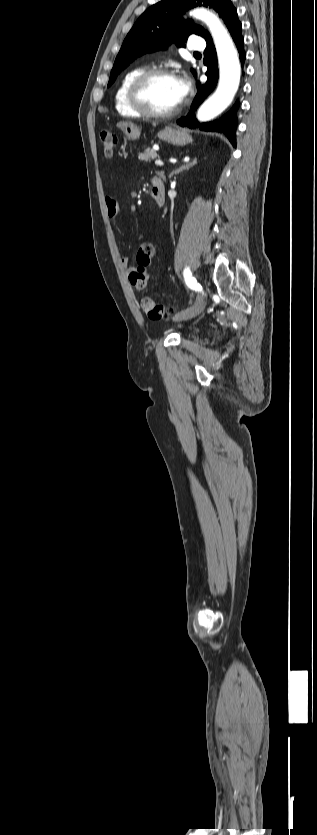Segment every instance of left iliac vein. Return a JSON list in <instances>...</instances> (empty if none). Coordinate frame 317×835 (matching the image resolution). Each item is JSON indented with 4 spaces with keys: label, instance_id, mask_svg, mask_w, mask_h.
Segmentation results:
<instances>
[{
    "label": "left iliac vein",
    "instance_id": "left-iliac-vein-1",
    "mask_svg": "<svg viewBox=\"0 0 317 835\" xmlns=\"http://www.w3.org/2000/svg\"><path fill=\"white\" fill-rule=\"evenodd\" d=\"M204 307H205V296H204V292H203L202 294L200 293L197 296V299H196L194 305L191 308L177 313L173 317V320L182 321V320H188V319L194 318L204 310Z\"/></svg>",
    "mask_w": 317,
    "mask_h": 835
}]
</instances>
